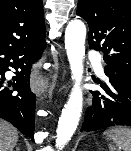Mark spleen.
<instances>
[{
  "label": "spleen",
  "instance_id": "spleen-1",
  "mask_svg": "<svg viewBox=\"0 0 131 151\" xmlns=\"http://www.w3.org/2000/svg\"><path fill=\"white\" fill-rule=\"evenodd\" d=\"M109 144V151H131V129L126 127H112L103 132Z\"/></svg>",
  "mask_w": 131,
  "mask_h": 151
}]
</instances>
